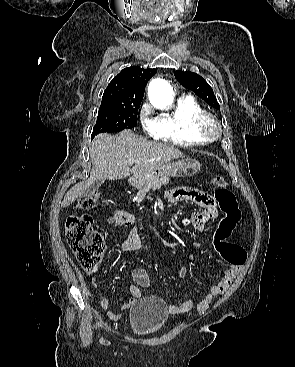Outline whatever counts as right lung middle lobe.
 <instances>
[{"mask_svg":"<svg viewBox=\"0 0 295 367\" xmlns=\"http://www.w3.org/2000/svg\"><path fill=\"white\" fill-rule=\"evenodd\" d=\"M141 102L102 100L92 138L102 132H119L135 127Z\"/></svg>","mask_w":295,"mask_h":367,"instance_id":"1","label":"right lung middle lobe"}]
</instances>
